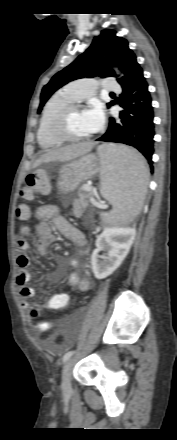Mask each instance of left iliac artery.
<instances>
[{"label":"left iliac artery","instance_id":"obj_1","mask_svg":"<svg viewBox=\"0 0 177 440\" xmlns=\"http://www.w3.org/2000/svg\"><path fill=\"white\" fill-rule=\"evenodd\" d=\"M74 354V351H69L63 356V362L67 361L72 355Z\"/></svg>","mask_w":177,"mask_h":440}]
</instances>
